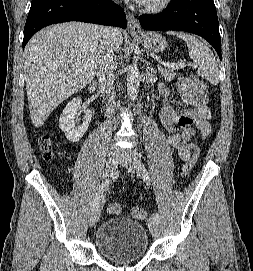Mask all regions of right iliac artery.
I'll list each match as a JSON object with an SVG mask.
<instances>
[{"mask_svg": "<svg viewBox=\"0 0 253 271\" xmlns=\"http://www.w3.org/2000/svg\"><path fill=\"white\" fill-rule=\"evenodd\" d=\"M106 186H107V182H102L101 185L99 186L98 191L95 194L92 209L100 202V200L103 196V193L106 189Z\"/></svg>", "mask_w": 253, "mask_h": 271, "instance_id": "82829eb1", "label": "right iliac artery"}]
</instances>
